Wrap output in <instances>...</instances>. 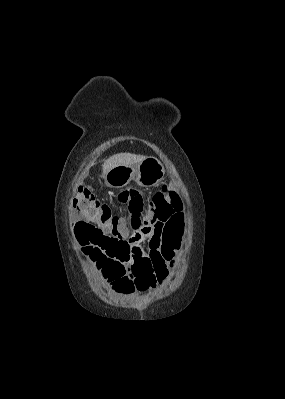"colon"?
<instances>
[{
  "label": "colon",
  "mask_w": 285,
  "mask_h": 399,
  "mask_svg": "<svg viewBox=\"0 0 285 399\" xmlns=\"http://www.w3.org/2000/svg\"><path fill=\"white\" fill-rule=\"evenodd\" d=\"M119 200L127 209L124 222L134 232L142 228L148 212L156 213L159 220L156 228L164 233L165 251L154 250L148 258L140 256L130 240L118 234L122 220L112 212L111 205L98 202L92 190L84 186L78 187L73 198L74 209L82 214L74 224V231L78 242L92 259L107 263L109 283L121 275L124 265H128L132 276L117 283L116 288L129 294L154 286L158 279L167 275V262L181 241V233L173 231L172 227L180 218L182 203L168 185L164 186L163 192L147 200L137 191L124 192Z\"/></svg>",
  "instance_id": "1"
}]
</instances>
